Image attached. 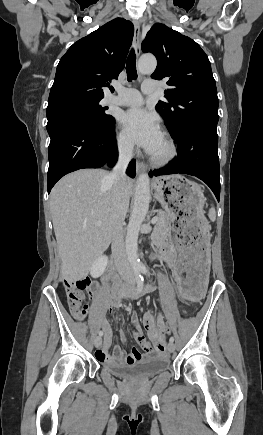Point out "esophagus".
<instances>
[{"label":"esophagus","instance_id":"1","mask_svg":"<svg viewBox=\"0 0 263 435\" xmlns=\"http://www.w3.org/2000/svg\"><path fill=\"white\" fill-rule=\"evenodd\" d=\"M134 24V39H133V43H134V48H135V53L137 56L140 55L141 53V48H140V24L137 20L133 21ZM136 169L137 172H142L145 170V165L143 162L141 161H137L136 162Z\"/></svg>","mask_w":263,"mask_h":435}]
</instances>
